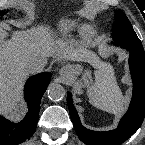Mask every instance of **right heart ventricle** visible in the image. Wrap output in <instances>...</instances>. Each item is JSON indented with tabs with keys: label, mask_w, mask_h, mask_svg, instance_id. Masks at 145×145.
<instances>
[{
	"label": "right heart ventricle",
	"mask_w": 145,
	"mask_h": 145,
	"mask_svg": "<svg viewBox=\"0 0 145 145\" xmlns=\"http://www.w3.org/2000/svg\"><path fill=\"white\" fill-rule=\"evenodd\" d=\"M77 25L74 22H65L61 27V34L63 36L70 35L73 31H75Z\"/></svg>",
	"instance_id": "1"
}]
</instances>
